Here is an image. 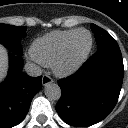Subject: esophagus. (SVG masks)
Returning a JSON list of instances; mask_svg holds the SVG:
<instances>
[{"instance_id":"obj_1","label":"esophagus","mask_w":128,"mask_h":128,"mask_svg":"<svg viewBox=\"0 0 128 128\" xmlns=\"http://www.w3.org/2000/svg\"><path fill=\"white\" fill-rule=\"evenodd\" d=\"M52 82H53V80H52V78L50 76L43 75V77H42V84H43V86H46V85H48V84H50Z\"/></svg>"}]
</instances>
